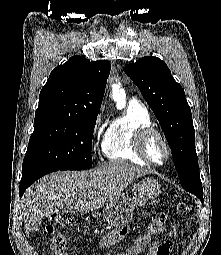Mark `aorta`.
Segmentation results:
<instances>
[{"instance_id": "1", "label": "aorta", "mask_w": 221, "mask_h": 255, "mask_svg": "<svg viewBox=\"0 0 221 255\" xmlns=\"http://www.w3.org/2000/svg\"><path fill=\"white\" fill-rule=\"evenodd\" d=\"M112 99L116 102L118 109H123L126 104V93L121 89L120 84L112 85Z\"/></svg>"}]
</instances>
